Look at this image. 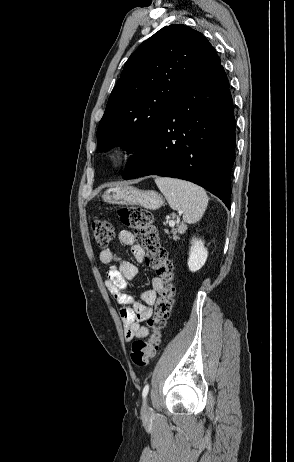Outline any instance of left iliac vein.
<instances>
[{
	"mask_svg": "<svg viewBox=\"0 0 294 462\" xmlns=\"http://www.w3.org/2000/svg\"><path fill=\"white\" fill-rule=\"evenodd\" d=\"M142 412H143V414H148V413H150V408H149L147 402L144 403Z\"/></svg>",
	"mask_w": 294,
	"mask_h": 462,
	"instance_id": "left-iliac-vein-1",
	"label": "left iliac vein"
}]
</instances>
